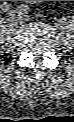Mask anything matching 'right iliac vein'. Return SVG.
Masks as SVG:
<instances>
[{
	"mask_svg": "<svg viewBox=\"0 0 74 122\" xmlns=\"http://www.w3.org/2000/svg\"><path fill=\"white\" fill-rule=\"evenodd\" d=\"M11 19L15 24H19L22 22L23 18L18 12H11Z\"/></svg>",
	"mask_w": 74,
	"mask_h": 122,
	"instance_id": "63e3f726",
	"label": "right iliac vein"
}]
</instances>
